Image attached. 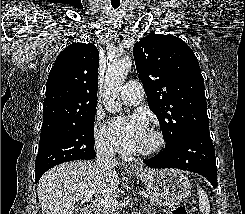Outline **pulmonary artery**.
Returning <instances> with one entry per match:
<instances>
[{
    "label": "pulmonary artery",
    "mask_w": 245,
    "mask_h": 214,
    "mask_svg": "<svg viewBox=\"0 0 245 214\" xmlns=\"http://www.w3.org/2000/svg\"><path fill=\"white\" fill-rule=\"evenodd\" d=\"M120 98L129 105H137L143 99V86L139 81L127 82L120 91Z\"/></svg>",
    "instance_id": "pulmonary-artery-1"
}]
</instances>
